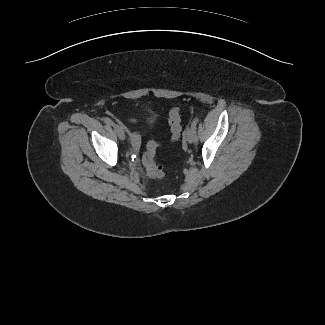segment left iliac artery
Here are the masks:
<instances>
[{"mask_svg":"<svg viewBox=\"0 0 325 325\" xmlns=\"http://www.w3.org/2000/svg\"><path fill=\"white\" fill-rule=\"evenodd\" d=\"M197 122H198V118L195 117L191 123V130H192V133H193V137H194V141L197 142L198 141V137H197V133H196V125H197Z\"/></svg>","mask_w":325,"mask_h":325,"instance_id":"44dca946","label":"left iliac artery"}]
</instances>
